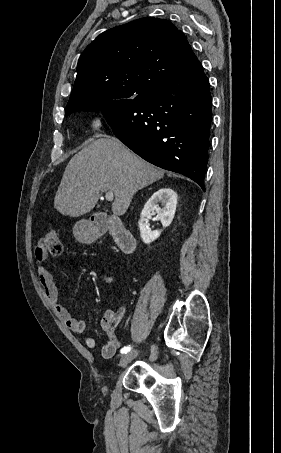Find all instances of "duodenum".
<instances>
[{
  "mask_svg": "<svg viewBox=\"0 0 281 453\" xmlns=\"http://www.w3.org/2000/svg\"><path fill=\"white\" fill-rule=\"evenodd\" d=\"M89 232L92 238L110 233L115 243L124 253H132L135 249L134 237L118 219L97 217L91 222Z\"/></svg>",
  "mask_w": 281,
  "mask_h": 453,
  "instance_id": "410a0bca",
  "label": "duodenum"
}]
</instances>
